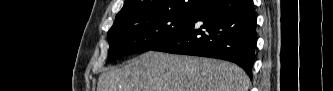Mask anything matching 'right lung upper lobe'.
Here are the masks:
<instances>
[{
	"instance_id": "right-lung-upper-lobe-1",
	"label": "right lung upper lobe",
	"mask_w": 333,
	"mask_h": 91,
	"mask_svg": "<svg viewBox=\"0 0 333 91\" xmlns=\"http://www.w3.org/2000/svg\"><path fill=\"white\" fill-rule=\"evenodd\" d=\"M205 0H125L114 24L159 13H197Z\"/></svg>"
}]
</instances>
